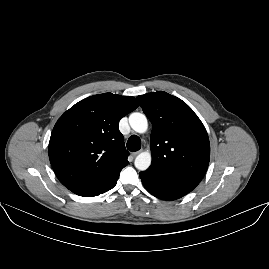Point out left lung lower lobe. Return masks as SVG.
Here are the masks:
<instances>
[{
    "label": "left lung lower lobe",
    "mask_w": 269,
    "mask_h": 269,
    "mask_svg": "<svg viewBox=\"0 0 269 269\" xmlns=\"http://www.w3.org/2000/svg\"><path fill=\"white\" fill-rule=\"evenodd\" d=\"M144 187L152 195L162 200H176L191 192L199 182L167 176L146 170L140 172Z\"/></svg>",
    "instance_id": "obj_1"
}]
</instances>
